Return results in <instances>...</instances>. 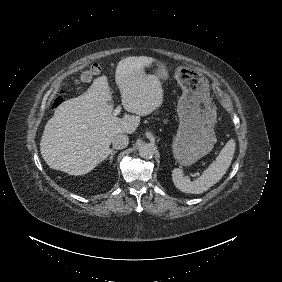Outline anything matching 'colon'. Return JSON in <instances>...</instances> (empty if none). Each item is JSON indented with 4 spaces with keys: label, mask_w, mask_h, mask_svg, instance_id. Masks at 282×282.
<instances>
[{
    "label": "colon",
    "mask_w": 282,
    "mask_h": 282,
    "mask_svg": "<svg viewBox=\"0 0 282 282\" xmlns=\"http://www.w3.org/2000/svg\"><path fill=\"white\" fill-rule=\"evenodd\" d=\"M101 72H102L101 65L98 62H95L78 76L77 82H88L94 77L100 75ZM60 102H61V97H57L54 101V107H58Z\"/></svg>",
    "instance_id": "1"
}]
</instances>
